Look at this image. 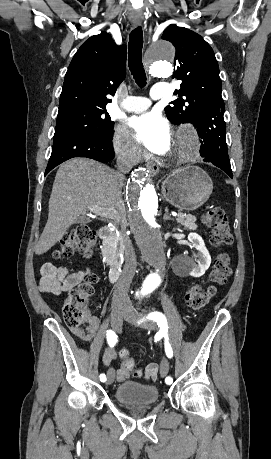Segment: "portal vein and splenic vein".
<instances>
[{
	"label": "portal vein and splenic vein",
	"mask_w": 271,
	"mask_h": 459,
	"mask_svg": "<svg viewBox=\"0 0 271 459\" xmlns=\"http://www.w3.org/2000/svg\"><path fill=\"white\" fill-rule=\"evenodd\" d=\"M92 214H96V216H101V218H110L112 210H107V208H92L90 210ZM184 215L181 212L177 213V217H183Z\"/></svg>",
	"instance_id": "obj_1"
}]
</instances>
